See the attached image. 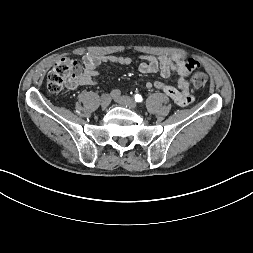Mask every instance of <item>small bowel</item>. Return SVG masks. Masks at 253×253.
<instances>
[{"label": "small bowel", "instance_id": "c3829d8e", "mask_svg": "<svg viewBox=\"0 0 253 253\" xmlns=\"http://www.w3.org/2000/svg\"><path fill=\"white\" fill-rule=\"evenodd\" d=\"M139 71L144 74L159 73L161 77L168 78L172 73L178 75L177 88L163 81H148L145 87L148 90L157 89L163 91L175 103L184 107H191L194 104V97L190 94V87L187 76L193 69L190 65L191 60L183 58L181 55L172 56H151L145 55L141 57ZM120 64L129 65L132 59L128 56L114 55H89L84 57L85 71L72 84V87L86 86L95 84L94 78L98 72L96 67L101 64Z\"/></svg>", "mask_w": 253, "mask_h": 253}]
</instances>
